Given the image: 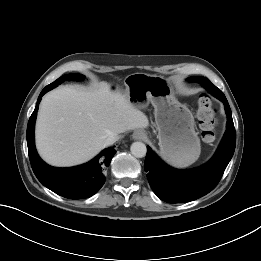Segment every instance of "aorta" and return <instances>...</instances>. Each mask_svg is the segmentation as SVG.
I'll list each match as a JSON object with an SVG mask.
<instances>
[{"label":"aorta","mask_w":261,"mask_h":261,"mask_svg":"<svg viewBox=\"0 0 261 261\" xmlns=\"http://www.w3.org/2000/svg\"><path fill=\"white\" fill-rule=\"evenodd\" d=\"M131 154L137 158H142L146 155V145L142 142H134L130 147Z\"/></svg>","instance_id":"aorta-1"}]
</instances>
